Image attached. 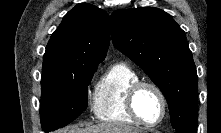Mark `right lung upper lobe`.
Instances as JSON below:
<instances>
[{
	"label": "right lung upper lobe",
	"mask_w": 221,
	"mask_h": 133,
	"mask_svg": "<svg viewBox=\"0 0 221 133\" xmlns=\"http://www.w3.org/2000/svg\"><path fill=\"white\" fill-rule=\"evenodd\" d=\"M110 42L109 15L88 4H77L51 35L43 56V72L77 64L100 63Z\"/></svg>",
	"instance_id": "obj_1"
}]
</instances>
